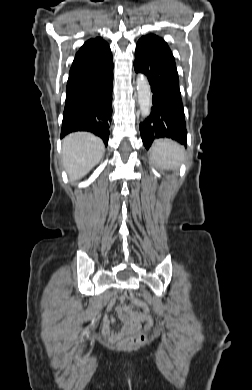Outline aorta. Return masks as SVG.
<instances>
[{
	"label": "aorta",
	"instance_id": "obj_1",
	"mask_svg": "<svg viewBox=\"0 0 252 390\" xmlns=\"http://www.w3.org/2000/svg\"><path fill=\"white\" fill-rule=\"evenodd\" d=\"M136 89L138 94V104L142 117L150 115L152 106L151 87L145 75L139 74L136 79Z\"/></svg>",
	"mask_w": 252,
	"mask_h": 390
}]
</instances>
